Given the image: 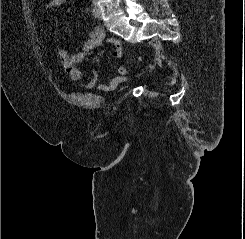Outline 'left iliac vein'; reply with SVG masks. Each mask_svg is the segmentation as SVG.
<instances>
[{"mask_svg": "<svg viewBox=\"0 0 245 239\" xmlns=\"http://www.w3.org/2000/svg\"><path fill=\"white\" fill-rule=\"evenodd\" d=\"M95 12L97 14V17L101 18V12H100V9H99V7L97 5H95Z\"/></svg>", "mask_w": 245, "mask_h": 239, "instance_id": "left-iliac-vein-1", "label": "left iliac vein"}]
</instances>
